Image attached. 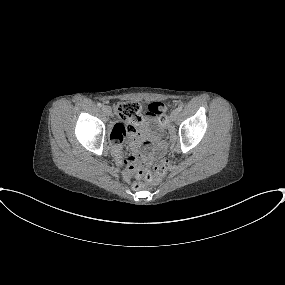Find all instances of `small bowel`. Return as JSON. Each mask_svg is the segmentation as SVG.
I'll return each instance as SVG.
<instances>
[{"mask_svg":"<svg viewBox=\"0 0 285 285\" xmlns=\"http://www.w3.org/2000/svg\"><path fill=\"white\" fill-rule=\"evenodd\" d=\"M154 119L144 116L140 123L135 125L134 131L126 132L122 123L114 125L111 131V154L117 163L122 161L123 143L126 139L130 141L132 153L134 156H140L142 145L147 142L153 135L151 124ZM127 181L131 180L129 173H124Z\"/></svg>","mask_w":285,"mask_h":285,"instance_id":"small-bowel-1","label":"small bowel"}]
</instances>
